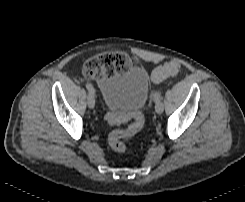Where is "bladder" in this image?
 <instances>
[{"label": "bladder", "instance_id": "obj_1", "mask_svg": "<svg viewBox=\"0 0 245 202\" xmlns=\"http://www.w3.org/2000/svg\"><path fill=\"white\" fill-rule=\"evenodd\" d=\"M98 86L106 110L141 111L148 101V78L139 67L115 77L102 78Z\"/></svg>", "mask_w": 245, "mask_h": 202}]
</instances>
